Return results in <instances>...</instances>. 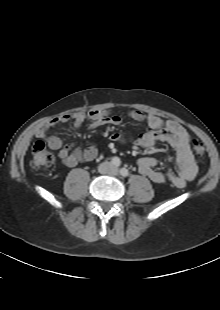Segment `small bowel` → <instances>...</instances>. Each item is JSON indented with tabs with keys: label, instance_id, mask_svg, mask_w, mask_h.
<instances>
[{
	"label": "small bowel",
	"instance_id": "small-bowel-1",
	"mask_svg": "<svg viewBox=\"0 0 220 310\" xmlns=\"http://www.w3.org/2000/svg\"><path fill=\"white\" fill-rule=\"evenodd\" d=\"M128 116L135 121H145L148 125L146 131L136 138V143L143 148L152 147L156 141H163L169 144L176 153V170L162 173L156 169L158 162L153 157H142L138 160L139 172L157 184L171 182L178 188H183L192 181L197 174L195 157L190 147V135L185 128L173 120H164L156 115L147 114L140 110H130ZM72 120L75 128L87 124L89 129L102 125H120L122 117L112 114L108 110H92L89 112H76L69 115L55 117L46 122L36 132V137L47 143V145L58 151V156L67 167H75L80 163L90 162L97 158L98 149L95 145L89 144L86 147H79L65 144L63 140L48 132L61 123ZM113 143L124 142L127 137L120 132H114L109 136Z\"/></svg>",
	"mask_w": 220,
	"mask_h": 310
}]
</instances>
